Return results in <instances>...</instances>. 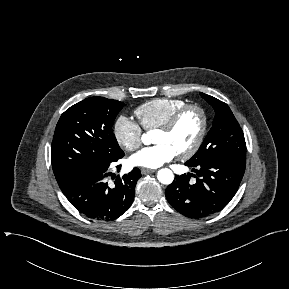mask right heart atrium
<instances>
[{
  "instance_id": "right-heart-atrium-1",
  "label": "right heart atrium",
  "mask_w": 289,
  "mask_h": 289,
  "mask_svg": "<svg viewBox=\"0 0 289 289\" xmlns=\"http://www.w3.org/2000/svg\"><path fill=\"white\" fill-rule=\"evenodd\" d=\"M113 135L120 147L134 151L141 145L142 130L131 118L120 115L114 122Z\"/></svg>"
}]
</instances>
